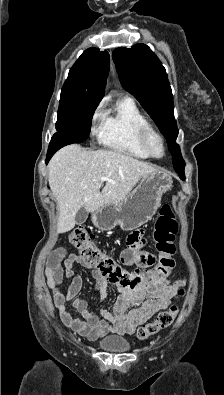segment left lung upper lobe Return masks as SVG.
<instances>
[{
	"mask_svg": "<svg viewBox=\"0 0 224 395\" xmlns=\"http://www.w3.org/2000/svg\"><path fill=\"white\" fill-rule=\"evenodd\" d=\"M113 60L124 89L139 101L168 141L173 165L183 162L180 147L175 143L178 129L167 73L162 63L145 44L130 49L117 48Z\"/></svg>",
	"mask_w": 224,
	"mask_h": 395,
	"instance_id": "5c2ea615",
	"label": "left lung upper lobe"
}]
</instances>
